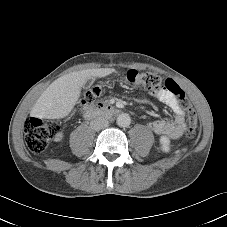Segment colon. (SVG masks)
Wrapping results in <instances>:
<instances>
[{"instance_id":"colon-1","label":"colon","mask_w":227,"mask_h":227,"mask_svg":"<svg viewBox=\"0 0 227 227\" xmlns=\"http://www.w3.org/2000/svg\"><path fill=\"white\" fill-rule=\"evenodd\" d=\"M123 80L134 88L151 89L160 92L166 89L172 93L179 104L188 114L187 136L192 138L196 135L198 128L197 115L188 100L183 89L173 80H163L162 77L153 72H140L137 70H128L123 74ZM103 93V88L96 86L90 89L85 97L84 103H92ZM59 132V126L53 121H45L39 118H29L24 126L25 143L28 149L33 153L44 151L49 141L56 137Z\"/></svg>"}]
</instances>
